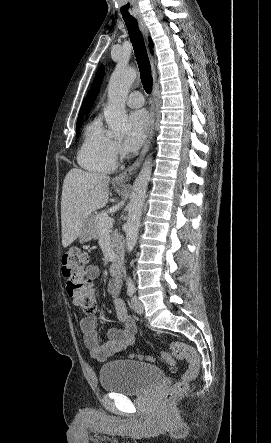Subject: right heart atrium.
<instances>
[{"instance_id":"1","label":"right heart atrium","mask_w":271,"mask_h":443,"mask_svg":"<svg viewBox=\"0 0 271 443\" xmlns=\"http://www.w3.org/2000/svg\"><path fill=\"white\" fill-rule=\"evenodd\" d=\"M115 150H116V153H119L121 151V147H120L119 142H115Z\"/></svg>"}]
</instances>
